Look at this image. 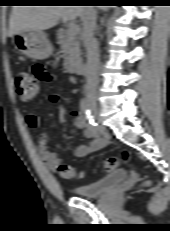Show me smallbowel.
Instances as JSON below:
<instances>
[{
    "instance_id": "obj_1",
    "label": "small bowel",
    "mask_w": 170,
    "mask_h": 231,
    "mask_svg": "<svg viewBox=\"0 0 170 231\" xmlns=\"http://www.w3.org/2000/svg\"><path fill=\"white\" fill-rule=\"evenodd\" d=\"M30 74L38 83L51 81L53 79L42 63H34L30 69ZM51 99L52 101L56 102L58 100V96H51ZM72 115L74 116L75 129L83 131L84 135L90 139L88 144H81L75 148V156L79 158L85 157L88 154L103 148L106 144L105 140L98 135H95L89 129L83 115L76 110L72 112ZM26 123L33 130H37L40 126L39 118L33 112L27 114ZM37 149L40 159L47 169L50 171H55L58 169L59 165L61 164V159L55 152L48 148L47 136L43 133L39 134L37 137Z\"/></svg>"
}]
</instances>
